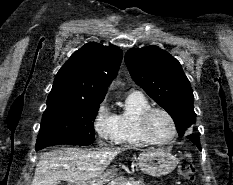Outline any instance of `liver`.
<instances>
[{"label":"liver","instance_id":"liver-1","mask_svg":"<svg viewBox=\"0 0 233 185\" xmlns=\"http://www.w3.org/2000/svg\"><path fill=\"white\" fill-rule=\"evenodd\" d=\"M125 148H64L43 153L36 164L31 185H58L89 181L101 176L111 161ZM70 165L64 168L63 165Z\"/></svg>","mask_w":233,"mask_h":185}]
</instances>
